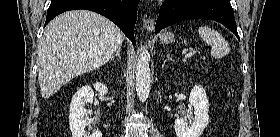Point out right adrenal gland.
Returning a JSON list of instances; mask_svg holds the SVG:
<instances>
[{
    "label": "right adrenal gland",
    "mask_w": 280,
    "mask_h": 137,
    "mask_svg": "<svg viewBox=\"0 0 280 137\" xmlns=\"http://www.w3.org/2000/svg\"><path fill=\"white\" fill-rule=\"evenodd\" d=\"M120 51H121V48L118 49V50L116 51L115 55H114V56L118 57L119 60H121ZM114 56L112 57V59H114Z\"/></svg>",
    "instance_id": "2a0ac1e0"
}]
</instances>
